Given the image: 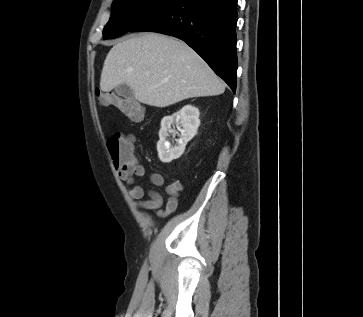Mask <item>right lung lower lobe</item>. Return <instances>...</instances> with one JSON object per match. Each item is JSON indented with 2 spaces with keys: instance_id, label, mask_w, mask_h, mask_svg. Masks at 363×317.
Instances as JSON below:
<instances>
[{
  "instance_id": "98d812e1",
  "label": "right lung lower lobe",
  "mask_w": 363,
  "mask_h": 317,
  "mask_svg": "<svg viewBox=\"0 0 363 317\" xmlns=\"http://www.w3.org/2000/svg\"><path fill=\"white\" fill-rule=\"evenodd\" d=\"M237 17V0H177L131 31L158 32L183 40L235 92Z\"/></svg>"
}]
</instances>
